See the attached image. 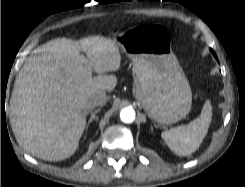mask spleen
<instances>
[{
  "label": "spleen",
  "instance_id": "obj_1",
  "mask_svg": "<svg viewBox=\"0 0 245 187\" xmlns=\"http://www.w3.org/2000/svg\"><path fill=\"white\" fill-rule=\"evenodd\" d=\"M212 120V106L206 100L201 114L188 125H182L161 133L167 146L179 156H188L201 145Z\"/></svg>",
  "mask_w": 245,
  "mask_h": 187
}]
</instances>
